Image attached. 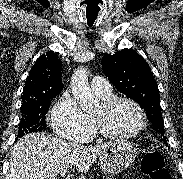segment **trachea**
<instances>
[{
	"instance_id": "trachea-1",
	"label": "trachea",
	"mask_w": 183,
	"mask_h": 179,
	"mask_svg": "<svg viewBox=\"0 0 183 179\" xmlns=\"http://www.w3.org/2000/svg\"><path fill=\"white\" fill-rule=\"evenodd\" d=\"M97 15H98V12H93V11L88 13V15L86 13L87 24H88L89 27L93 26V24H94V22L97 18Z\"/></svg>"
}]
</instances>
